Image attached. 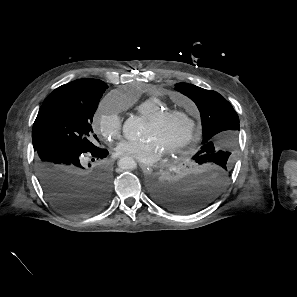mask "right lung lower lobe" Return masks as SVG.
I'll list each match as a JSON object with an SVG mask.
<instances>
[{"instance_id":"98d812e1","label":"right lung lower lobe","mask_w":297,"mask_h":297,"mask_svg":"<svg viewBox=\"0 0 297 297\" xmlns=\"http://www.w3.org/2000/svg\"><path fill=\"white\" fill-rule=\"evenodd\" d=\"M36 151L38 179L55 207L72 215L92 214L107 202L111 175L102 165L86 168L82 162V155L88 152L93 158L103 159L108 155L106 149L82 151L67 144L52 143Z\"/></svg>"}]
</instances>
